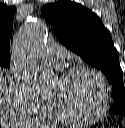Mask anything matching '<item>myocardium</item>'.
Returning <instances> with one entry per match:
<instances>
[{
  "label": "myocardium",
  "instance_id": "myocardium-1",
  "mask_svg": "<svg viewBox=\"0 0 125 128\" xmlns=\"http://www.w3.org/2000/svg\"><path fill=\"white\" fill-rule=\"evenodd\" d=\"M81 71H87L94 74L102 84L103 93H104V102L102 107L98 111L91 114H81V113L73 112L69 110L57 96L50 94V99L56 111L66 121L74 122V123H87V122H92L101 118L108 111L110 107V102H111L110 86L106 77L102 72H100L98 69L92 66H89L86 64H77V65L71 66L66 70H64L60 74L59 78L64 81L70 78L71 76H73L74 74Z\"/></svg>",
  "mask_w": 125,
  "mask_h": 128
}]
</instances>
